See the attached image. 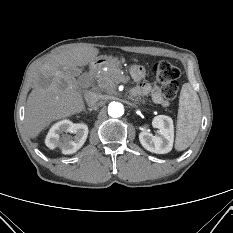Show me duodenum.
<instances>
[{
  "instance_id": "duodenum-1",
  "label": "duodenum",
  "mask_w": 233,
  "mask_h": 233,
  "mask_svg": "<svg viewBox=\"0 0 233 233\" xmlns=\"http://www.w3.org/2000/svg\"><path fill=\"white\" fill-rule=\"evenodd\" d=\"M104 63V60L98 59L93 64H91L89 72L87 74V87H89L93 81L94 75L97 71V69L100 67L101 64Z\"/></svg>"
}]
</instances>
